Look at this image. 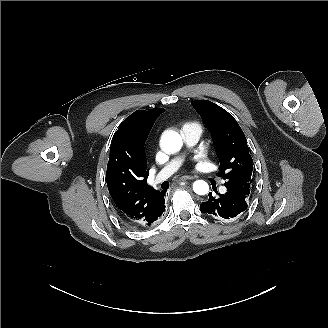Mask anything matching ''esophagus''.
<instances>
[{
  "mask_svg": "<svg viewBox=\"0 0 328 328\" xmlns=\"http://www.w3.org/2000/svg\"><path fill=\"white\" fill-rule=\"evenodd\" d=\"M192 179H194L192 176H181V177H180V180H181V181L192 180Z\"/></svg>",
  "mask_w": 328,
  "mask_h": 328,
  "instance_id": "esophagus-1",
  "label": "esophagus"
}]
</instances>
